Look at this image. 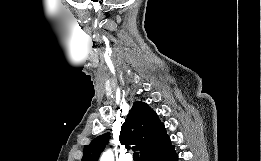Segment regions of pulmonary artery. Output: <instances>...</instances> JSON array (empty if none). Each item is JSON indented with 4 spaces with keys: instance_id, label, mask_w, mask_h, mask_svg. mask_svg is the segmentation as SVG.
<instances>
[{
    "instance_id": "obj_1",
    "label": "pulmonary artery",
    "mask_w": 261,
    "mask_h": 161,
    "mask_svg": "<svg viewBox=\"0 0 261 161\" xmlns=\"http://www.w3.org/2000/svg\"><path fill=\"white\" fill-rule=\"evenodd\" d=\"M126 161H132V156H127Z\"/></svg>"
}]
</instances>
